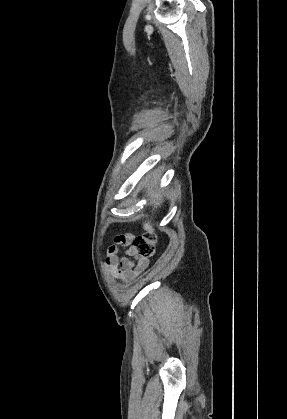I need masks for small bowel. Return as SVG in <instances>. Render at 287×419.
<instances>
[{
  "label": "small bowel",
  "instance_id": "1",
  "mask_svg": "<svg viewBox=\"0 0 287 419\" xmlns=\"http://www.w3.org/2000/svg\"><path fill=\"white\" fill-rule=\"evenodd\" d=\"M133 236L129 233L117 234L107 249L105 264L115 278L130 282L146 267V260L137 257L131 247ZM126 248V256H120L121 248Z\"/></svg>",
  "mask_w": 287,
  "mask_h": 419
}]
</instances>
